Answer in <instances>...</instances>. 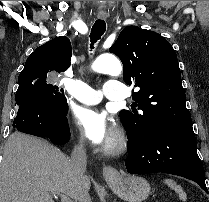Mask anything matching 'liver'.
I'll return each instance as SVG.
<instances>
[{"mask_svg": "<svg viewBox=\"0 0 209 202\" xmlns=\"http://www.w3.org/2000/svg\"><path fill=\"white\" fill-rule=\"evenodd\" d=\"M90 179H78L71 161L46 140L15 132L8 138L0 164V202H54L50 190L79 199Z\"/></svg>", "mask_w": 209, "mask_h": 202, "instance_id": "6515ba94", "label": "liver"}]
</instances>
